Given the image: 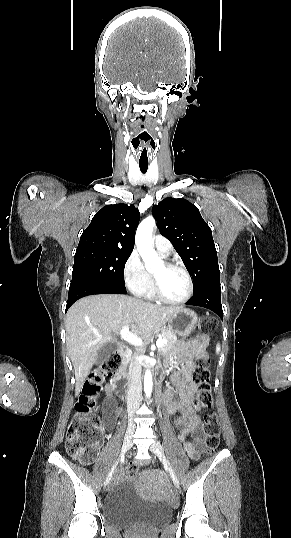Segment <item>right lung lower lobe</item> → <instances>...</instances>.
Masks as SVG:
<instances>
[{
	"label": "right lung lower lobe",
	"mask_w": 291,
	"mask_h": 538,
	"mask_svg": "<svg viewBox=\"0 0 291 538\" xmlns=\"http://www.w3.org/2000/svg\"><path fill=\"white\" fill-rule=\"evenodd\" d=\"M125 288H118L105 285H79L69 288L68 301L66 305V311L68 308L78 299L94 294H126Z\"/></svg>",
	"instance_id": "right-lung-lower-lobe-1"
}]
</instances>
